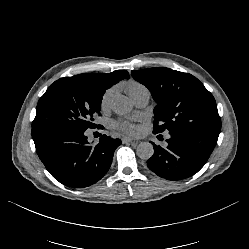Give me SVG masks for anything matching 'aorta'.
<instances>
[{
    "mask_svg": "<svg viewBox=\"0 0 249 249\" xmlns=\"http://www.w3.org/2000/svg\"><path fill=\"white\" fill-rule=\"evenodd\" d=\"M112 110L118 115H125L132 110L130 100L125 96H116L111 101ZM137 156L141 159H150L154 154V148L149 142H141L136 149Z\"/></svg>",
    "mask_w": 249,
    "mask_h": 249,
    "instance_id": "aorta-1",
    "label": "aorta"
}]
</instances>
